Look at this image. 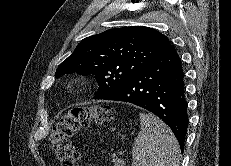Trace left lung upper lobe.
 I'll list each match as a JSON object with an SVG mask.
<instances>
[{"label": "left lung upper lobe", "mask_w": 231, "mask_h": 166, "mask_svg": "<svg viewBox=\"0 0 231 166\" xmlns=\"http://www.w3.org/2000/svg\"><path fill=\"white\" fill-rule=\"evenodd\" d=\"M170 44L169 39L145 26L114 28L83 39L56 70L94 74L99 83L96 99H102L147 66Z\"/></svg>", "instance_id": "obj_1"}]
</instances>
